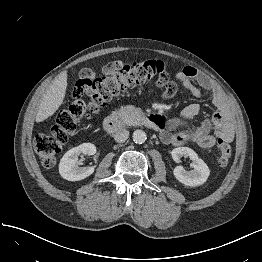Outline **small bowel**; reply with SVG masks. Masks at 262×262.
<instances>
[{
	"label": "small bowel",
	"mask_w": 262,
	"mask_h": 262,
	"mask_svg": "<svg viewBox=\"0 0 262 262\" xmlns=\"http://www.w3.org/2000/svg\"><path fill=\"white\" fill-rule=\"evenodd\" d=\"M177 81L191 91L197 99L201 98L203 92L194 83L200 84L204 90L211 94L212 102L217 111L210 118L204 119L199 127L189 130L191 121L200 114L201 108L198 104H190L184 108L178 118L171 124L170 128L161 127L159 135L165 144L175 146L186 142H193L203 148H212L217 139L231 142L234 138V130L231 123L230 109L227 98L196 68L186 66L176 73ZM178 90L177 84L171 83L164 86L161 96L164 99L171 98ZM214 128V134H210Z\"/></svg>",
	"instance_id": "obj_1"
}]
</instances>
